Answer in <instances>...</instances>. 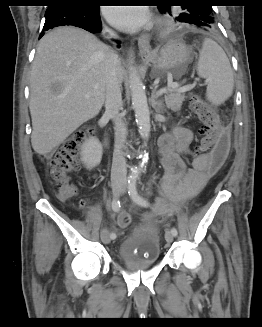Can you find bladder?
Here are the masks:
<instances>
[{"mask_svg":"<svg viewBox=\"0 0 262 327\" xmlns=\"http://www.w3.org/2000/svg\"><path fill=\"white\" fill-rule=\"evenodd\" d=\"M118 256L127 263L136 259L152 265L160 261L161 239L157 231L140 229L129 234L120 244Z\"/></svg>","mask_w":262,"mask_h":327,"instance_id":"31cf9c89","label":"bladder"}]
</instances>
